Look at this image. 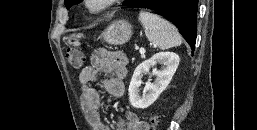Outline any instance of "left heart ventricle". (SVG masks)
<instances>
[{"label":"left heart ventricle","mask_w":257,"mask_h":130,"mask_svg":"<svg viewBox=\"0 0 257 130\" xmlns=\"http://www.w3.org/2000/svg\"><path fill=\"white\" fill-rule=\"evenodd\" d=\"M104 0H91V6L93 8H96L100 6L103 3Z\"/></svg>","instance_id":"1"}]
</instances>
